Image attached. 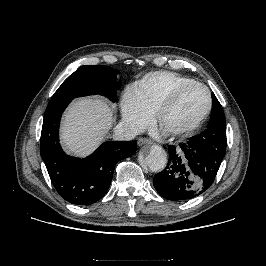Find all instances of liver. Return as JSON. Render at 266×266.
Wrapping results in <instances>:
<instances>
[{"mask_svg":"<svg viewBox=\"0 0 266 266\" xmlns=\"http://www.w3.org/2000/svg\"><path fill=\"white\" fill-rule=\"evenodd\" d=\"M113 119V109L102 98L77 99L63 117V146L78 156L90 154L107 135Z\"/></svg>","mask_w":266,"mask_h":266,"instance_id":"1","label":"liver"}]
</instances>
